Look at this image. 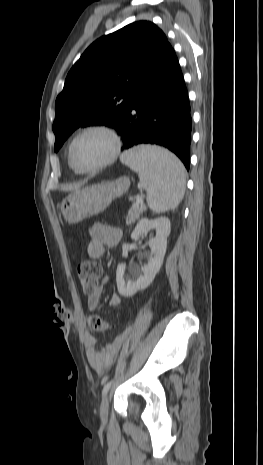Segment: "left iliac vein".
Returning <instances> with one entry per match:
<instances>
[{"label":"left iliac vein","mask_w":263,"mask_h":465,"mask_svg":"<svg viewBox=\"0 0 263 465\" xmlns=\"http://www.w3.org/2000/svg\"><path fill=\"white\" fill-rule=\"evenodd\" d=\"M108 409H109V396L106 393L103 397V400L101 402L100 406V416L102 421H106L108 418Z\"/></svg>","instance_id":"obj_1"}]
</instances>
